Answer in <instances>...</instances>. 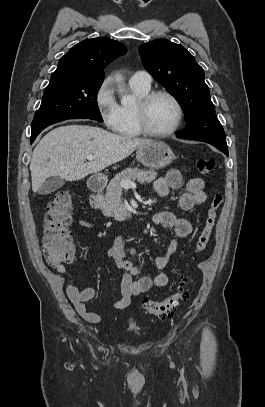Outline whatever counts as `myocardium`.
<instances>
[{"label": "myocardium", "mask_w": 265, "mask_h": 407, "mask_svg": "<svg viewBox=\"0 0 265 407\" xmlns=\"http://www.w3.org/2000/svg\"><path fill=\"white\" fill-rule=\"evenodd\" d=\"M159 96H165L169 98L175 105L177 110L176 121L173 126L164 132L153 131L148 125V109L153 100ZM184 117V109L180 100L171 92L167 90H155L147 93L143 96L135 106V118L139 131L146 136L153 138H166L173 135L180 127Z\"/></svg>", "instance_id": "obj_1"}]
</instances>
